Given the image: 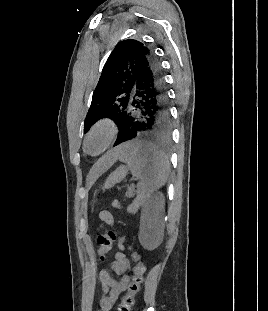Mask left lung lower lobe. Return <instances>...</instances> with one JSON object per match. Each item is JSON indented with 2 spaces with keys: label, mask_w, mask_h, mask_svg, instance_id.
Returning a JSON list of instances; mask_svg holds the SVG:
<instances>
[{
  "label": "left lung lower lobe",
  "mask_w": 268,
  "mask_h": 311,
  "mask_svg": "<svg viewBox=\"0 0 268 311\" xmlns=\"http://www.w3.org/2000/svg\"><path fill=\"white\" fill-rule=\"evenodd\" d=\"M170 125L165 80L161 64L152 53L138 68L130 109L114 146L131 139L167 141Z\"/></svg>",
  "instance_id": "0a47b994"
}]
</instances>
